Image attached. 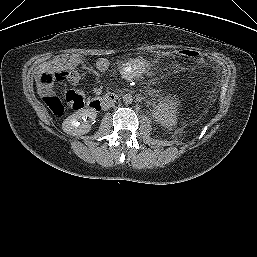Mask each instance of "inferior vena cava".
Here are the masks:
<instances>
[{
	"label": "inferior vena cava",
	"mask_w": 257,
	"mask_h": 257,
	"mask_svg": "<svg viewBox=\"0 0 257 257\" xmlns=\"http://www.w3.org/2000/svg\"><path fill=\"white\" fill-rule=\"evenodd\" d=\"M113 105H114V102H107V103H105L104 108L108 109V108L112 107Z\"/></svg>",
	"instance_id": "1"
}]
</instances>
